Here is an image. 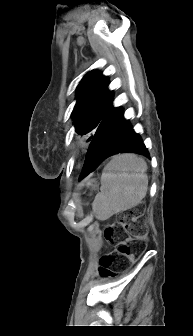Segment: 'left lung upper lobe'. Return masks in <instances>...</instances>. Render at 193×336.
<instances>
[{
  "mask_svg": "<svg viewBox=\"0 0 193 336\" xmlns=\"http://www.w3.org/2000/svg\"><path fill=\"white\" fill-rule=\"evenodd\" d=\"M108 83V77L91 71L78 85L77 103L72 112L78 134L83 135L97 129L101 120L112 109L113 93L108 91ZM91 139L92 137L88 141Z\"/></svg>",
  "mask_w": 193,
  "mask_h": 336,
  "instance_id": "left-lung-upper-lobe-1",
  "label": "left lung upper lobe"
}]
</instances>
